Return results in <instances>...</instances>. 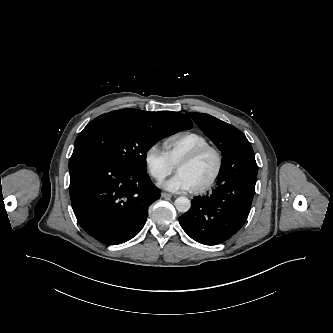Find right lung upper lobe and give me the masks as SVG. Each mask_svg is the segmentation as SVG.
<instances>
[{
  "instance_id": "cb5924a9",
  "label": "right lung upper lobe",
  "mask_w": 333,
  "mask_h": 333,
  "mask_svg": "<svg viewBox=\"0 0 333 333\" xmlns=\"http://www.w3.org/2000/svg\"><path fill=\"white\" fill-rule=\"evenodd\" d=\"M118 114H127L134 116L136 118L153 122V123H167L169 121H175L181 123L188 128L192 127V121L184 114L178 112H146L137 109H121L117 111H112Z\"/></svg>"
}]
</instances>
